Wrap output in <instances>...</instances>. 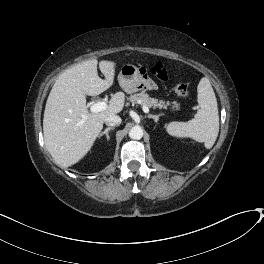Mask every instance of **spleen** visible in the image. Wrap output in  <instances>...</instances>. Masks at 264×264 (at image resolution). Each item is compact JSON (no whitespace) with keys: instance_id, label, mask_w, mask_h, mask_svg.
<instances>
[{"instance_id":"spleen-1","label":"spleen","mask_w":264,"mask_h":264,"mask_svg":"<svg viewBox=\"0 0 264 264\" xmlns=\"http://www.w3.org/2000/svg\"><path fill=\"white\" fill-rule=\"evenodd\" d=\"M197 101L200 109L188 122H171L166 126L168 134L174 137H189L212 148L219 133L217 99L208 78L203 77L197 87Z\"/></svg>"}]
</instances>
